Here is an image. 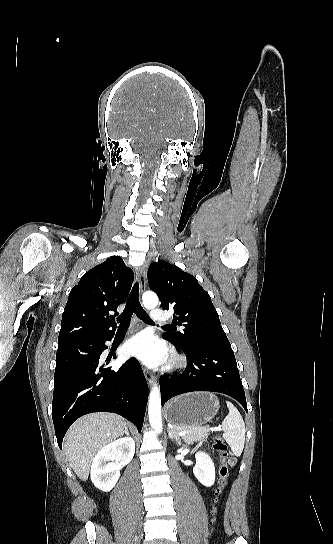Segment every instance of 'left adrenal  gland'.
Segmentation results:
<instances>
[{"label": "left adrenal gland", "mask_w": 333, "mask_h": 544, "mask_svg": "<svg viewBox=\"0 0 333 544\" xmlns=\"http://www.w3.org/2000/svg\"><path fill=\"white\" fill-rule=\"evenodd\" d=\"M167 430H168L169 437L171 439H175L179 443L180 436L176 432L170 431L169 429H167Z\"/></svg>", "instance_id": "1"}]
</instances>
